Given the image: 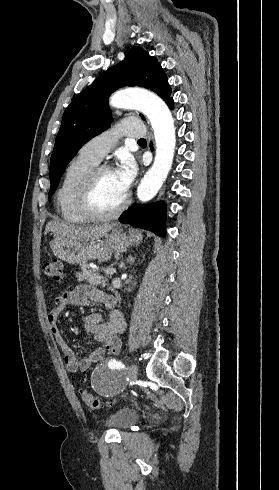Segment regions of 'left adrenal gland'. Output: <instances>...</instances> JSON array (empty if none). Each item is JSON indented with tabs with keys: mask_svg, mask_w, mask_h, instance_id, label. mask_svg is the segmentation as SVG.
<instances>
[{
	"mask_svg": "<svg viewBox=\"0 0 279 490\" xmlns=\"http://www.w3.org/2000/svg\"><path fill=\"white\" fill-rule=\"evenodd\" d=\"M128 260H129V262H131V264H134V262H135L134 258H131V256H129ZM131 264H130V266H131Z\"/></svg>",
	"mask_w": 279,
	"mask_h": 490,
	"instance_id": "obj_1",
	"label": "left adrenal gland"
}]
</instances>
